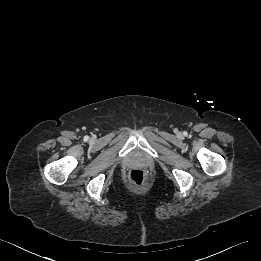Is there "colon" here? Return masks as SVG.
<instances>
[{
    "label": "colon",
    "instance_id": "1",
    "mask_svg": "<svg viewBox=\"0 0 261 261\" xmlns=\"http://www.w3.org/2000/svg\"><path fill=\"white\" fill-rule=\"evenodd\" d=\"M129 182L132 186L143 187L149 182V176L146 171L142 169H134L129 173Z\"/></svg>",
    "mask_w": 261,
    "mask_h": 261
}]
</instances>
